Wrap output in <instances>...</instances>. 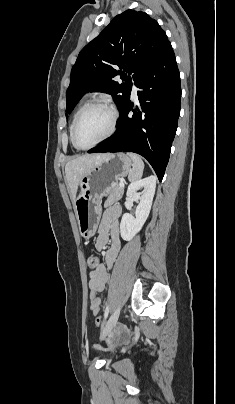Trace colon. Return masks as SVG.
I'll list each match as a JSON object with an SVG mask.
<instances>
[{"mask_svg":"<svg viewBox=\"0 0 235 404\" xmlns=\"http://www.w3.org/2000/svg\"><path fill=\"white\" fill-rule=\"evenodd\" d=\"M100 265V261L99 258L96 256H89L87 259V266L91 269V270H95L98 266ZM103 323V319L101 316H97L95 318V324L97 326H101Z\"/></svg>","mask_w":235,"mask_h":404,"instance_id":"obj_1","label":"colon"}]
</instances>
